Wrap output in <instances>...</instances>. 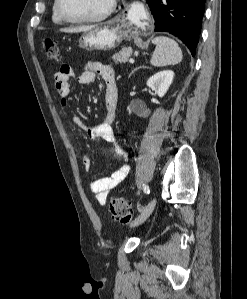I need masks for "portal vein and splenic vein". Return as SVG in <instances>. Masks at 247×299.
I'll use <instances>...</instances> for the list:
<instances>
[{
  "label": "portal vein and splenic vein",
  "instance_id": "obj_1",
  "mask_svg": "<svg viewBox=\"0 0 247 299\" xmlns=\"http://www.w3.org/2000/svg\"><path fill=\"white\" fill-rule=\"evenodd\" d=\"M129 62L131 63V64H133L134 63V59H129Z\"/></svg>",
  "mask_w": 247,
  "mask_h": 299
}]
</instances>
